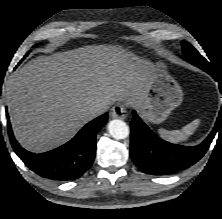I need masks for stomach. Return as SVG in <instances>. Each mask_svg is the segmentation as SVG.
I'll use <instances>...</instances> for the list:
<instances>
[{
    "label": "stomach",
    "instance_id": "obj_1",
    "mask_svg": "<svg viewBox=\"0 0 222 219\" xmlns=\"http://www.w3.org/2000/svg\"><path fill=\"white\" fill-rule=\"evenodd\" d=\"M154 72L145 95L134 106L141 116L151 123L159 124L167 119L172 110L183 100V92L170 76L167 65L162 61L153 64Z\"/></svg>",
    "mask_w": 222,
    "mask_h": 219
}]
</instances>
